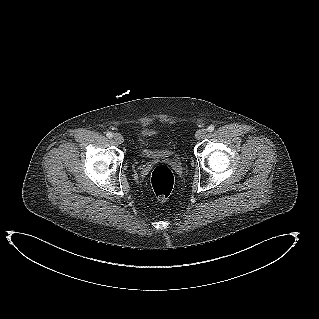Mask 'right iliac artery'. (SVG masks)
Segmentation results:
<instances>
[{"label":"right iliac artery","mask_w":319,"mask_h":319,"mask_svg":"<svg viewBox=\"0 0 319 319\" xmlns=\"http://www.w3.org/2000/svg\"><path fill=\"white\" fill-rule=\"evenodd\" d=\"M106 136H107L108 138H112V137H113V134H112V132H107V133H106Z\"/></svg>","instance_id":"obj_1"}]
</instances>
